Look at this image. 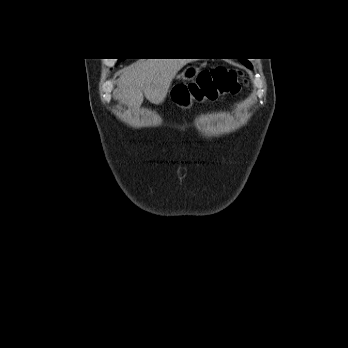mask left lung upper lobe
I'll use <instances>...</instances> for the list:
<instances>
[{
	"mask_svg": "<svg viewBox=\"0 0 348 348\" xmlns=\"http://www.w3.org/2000/svg\"><path fill=\"white\" fill-rule=\"evenodd\" d=\"M240 61L247 66L248 68H252V65L250 62H248L246 59H240Z\"/></svg>",
	"mask_w": 348,
	"mask_h": 348,
	"instance_id": "1",
	"label": "left lung upper lobe"
}]
</instances>
